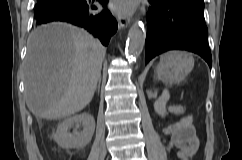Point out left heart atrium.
Segmentation results:
<instances>
[{
  "label": "left heart atrium",
  "mask_w": 242,
  "mask_h": 160,
  "mask_svg": "<svg viewBox=\"0 0 242 160\" xmlns=\"http://www.w3.org/2000/svg\"><path fill=\"white\" fill-rule=\"evenodd\" d=\"M112 9L120 14L131 13L135 6L136 0H112Z\"/></svg>",
  "instance_id": "39dd6f15"
}]
</instances>
